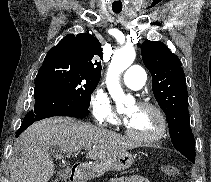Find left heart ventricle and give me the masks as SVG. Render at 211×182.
<instances>
[{
  "instance_id": "b2bd125f",
  "label": "left heart ventricle",
  "mask_w": 211,
  "mask_h": 182,
  "mask_svg": "<svg viewBox=\"0 0 211 182\" xmlns=\"http://www.w3.org/2000/svg\"><path fill=\"white\" fill-rule=\"evenodd\" d=\"M126 115L129 117L128 127L140 137L152 136L159 129V118L151 109L131 106L127 109Z\"/></svg>"
}]
</instances>
